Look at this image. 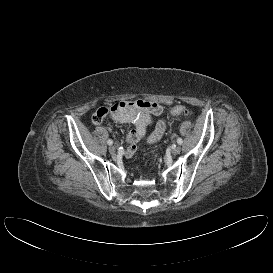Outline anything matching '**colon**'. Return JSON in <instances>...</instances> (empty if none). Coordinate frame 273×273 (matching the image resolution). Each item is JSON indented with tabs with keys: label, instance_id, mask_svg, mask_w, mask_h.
<instances>
[{
	"label": "colon",
	"instance_id": "colon-1",
	"mask_svg": "<svg viewBox=\"0 0 273 273\" xmlns=\"http://www.w3.org/2000/svg\"><path fill=\"white\" fill-rule=\"evenodd\" d=\"M169 112L172 116H188L191 113L190 110L183 105H175L170 108Z\"/></svg>",
	"mask_w": 273,
	"mask_h": 273
}]
</instances>
